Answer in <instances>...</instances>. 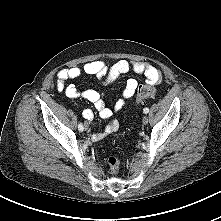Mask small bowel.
I'll list each match as a JSON object with an SVG mask.
<instances>
[{"instance_id": "1", "label": "small bowel", "mask_w": 221, "mask_h": 221, "mask_svg": "<svg viewBox=\"0 0 221 221\" xmlns=\"http://www.w3.org/2000/svg\"><path fill=\"white\" fill-rule=\"evenodd\" d=\"M130 71L144 75L149 84H158L162 79L160 70L146 61L119 60L112 65H108L103 60H94L81 66H71L59 70L57 73L56 88L58 91L64 92L71 99L81 98L91 102L98 111L99 116L107 120L114 113L120 111L125 105V102L134 95L138 86L136 79L130 78L127 80L122 96L115 102L113 108L107 106L103 93L93 89L79 90L74 84H67V81L87 74L96 76L105 84H110L116 81L121 75ZM83 116L86 120L90 121L94 118V113L91 109H85ZM118 128V121L110 120L102 132L94 133L91 138L93 141H99L106 135L117 131Z\"/></svg>"}]
</instances>
